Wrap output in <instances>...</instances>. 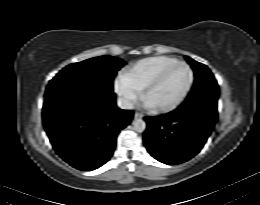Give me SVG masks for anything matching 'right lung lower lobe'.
<instances>
[{
    "mask_svg": "<svg viewBox=\"0 0 260 205\" xmlns=\"http://www.w3.org/2000/svg\"><path fill=\"white\" fill-rule=\"evenodd\" d=\"M132 117L133 111L116 106L112 88L77 80L50 81L46 88L45 130L56 153L79 170L106 163Z\"/></svg>",
    "mask_w": 260,
    "mask_h": 205,
    "instance_id": "1",
    "label": "right lung lower lobe"
}]
</instances>
